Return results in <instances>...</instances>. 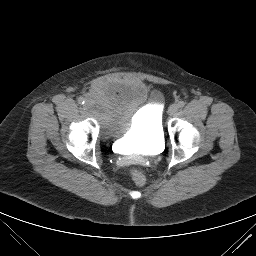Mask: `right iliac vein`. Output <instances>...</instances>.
I'll return each mask as SVG.
<instances>
[{
  "instance_id": "obj_1",
  "label": "right iliac vein",
  "mask_w": 256,
  "mask_h": 256,
  "mask_svg": "<svg viewBox=\"0 0 256 256\" xmlns=\"http://www.w3.org/2000/svg\"><path fill=\"white\" fill-rule=\"evenodd\" d=\"M92 105V102L90 101V100H87L86 102H85V104H84V107L85 108H88V107H90Z\"/></svg>"
}]
</instances>
